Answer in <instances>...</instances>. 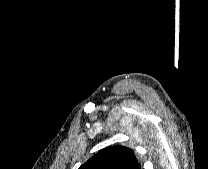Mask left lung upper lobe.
I'll return each instance as SVG.
<instances>
[{
    "label": "left lung upper lobe",
    "instance_id": "obj_1",
    "mask_svg": "<svg viewBox=\"0 0 208 169\" xmlns=\"http://www.w3.org/2000/svg\"><path fill=\"white\" fill-rule=\"evenodd\" d=\"M79 169H141L132 149L109 146L92 156Z\"/></svg>",
    "mask_w": 208,
    "mask_h": 169
}]
</instances>
